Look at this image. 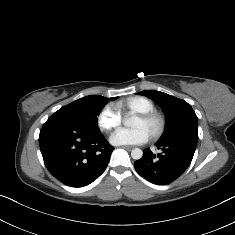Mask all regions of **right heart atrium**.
<instances>
[{"label":"right heart atrium","mask_w":235,"mask_h":235,"mask_svg":"<svg viewBox=\"0 0 235 235\" xmlns=\"http://www.w3.org/2000/svg\"><path fill=\"white\" fill-rule=\"evenodd\" d=\"M122 117L113 103L106 104L98 113L96 123L102 132H110L120 126Z\"/></svg>","instance_id":"right-heart-atrium-1"}]
</instances>
